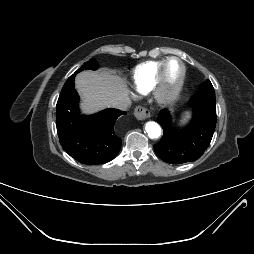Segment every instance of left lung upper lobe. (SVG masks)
Wrapping results in <instances>:
<instances>
[{
    "instance_id": "5c2ea615",
    "label": "left lung upper lobe",
    "mask_w": 254,
    "mask_h": 254,
    "mask_svg": "<svg viewBox=\"0 0 254 254\" xmlns=\"http://www.w3.org/2000/svg\"><path fill=\"white\" fill-rule=\"evenodd\" d=\"M206 94H215L214 88L210 82V80H207L201 85V91Z\"/></svg>"
}]
</instances>
